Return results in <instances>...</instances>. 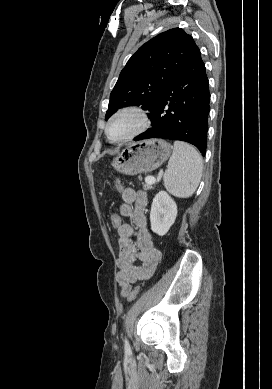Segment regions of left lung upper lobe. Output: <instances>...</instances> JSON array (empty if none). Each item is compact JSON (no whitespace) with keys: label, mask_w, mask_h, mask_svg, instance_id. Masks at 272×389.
Instances as JSON below:
<instances>
[{"label":"left lung upper lobe","mask_w":272,"mask_h":389,"mask_svg":"<svg viewBox=\"0 0 272 389\" xmlns=\"http://www.w3.org/2000/svg\"><path fill=\"white\" fill-rule=\"evenodd\" d=\"M199 51L194 39L180 28L160 33L146 42L121 71L110 94L105 119L129 105L152 112L166 86Z\"/></svg>","instance_id":"1"}]
</instances>
